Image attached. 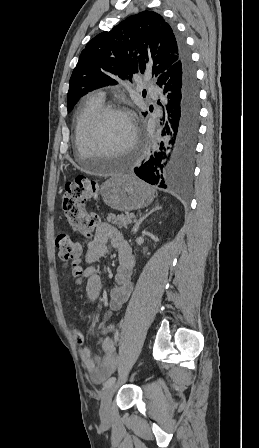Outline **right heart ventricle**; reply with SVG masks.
<instances>
[{
  "label": "right heart ventricle",
  "mask_w": 259,
  "mask_h": 448,
  "mask_svg": "<svg viewBox=\"0 0 259 448\" xmlns=\"http://www.w3.org/2000/svg\"><path fill=\"white\" fill-rule=\"evenodd\" d=\"M103 106V100L98 98L95 93L90 94L84 101L82 109L78 113L74 125L73 142L74 148H81L83 152L82 144V132L86 123L99 111ZM130 181V180H129Z\"/></svg>",
  "instance_id": "e07e8e85"
}]
</instances>
